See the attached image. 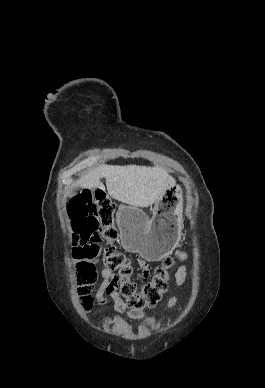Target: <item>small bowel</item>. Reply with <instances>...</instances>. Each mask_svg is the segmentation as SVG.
Here are the masks:
<instances>
[{
  "label": "small bowel",
  "instance_id": "c3829d8e",
  "mask_svg": "<svg viewBox=\"0 0 265 388\" xmlns=\"http://www.w3.org/2000/svg\"><path fill=\"white\" fill-rule=\"evenodd\" d=\"M138 264L141 269V274L143 278H148L150 274L149 264L143 259H138ZM101 275L104 279V282L99 287L96 297L100 302L105 301V296H110L114 302V309L120 315H126L130 319L142 320L145 315L142 311L137 309H128L127 305L120 298L116 286L114 284L115 274L113 271L105 268L102 270ZM187 271L185 266L179 267L175 273V281L177 285H182L186 279ZM176 297H171L168 301V307H172L176 304ZM114 327L119 332H125L129 329L127 322L116 319L114 322Z\"/></svg>",
  "mask_w": 265,
  "mask_h": 388
}]
</instances>
